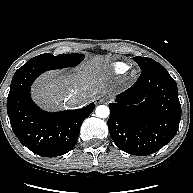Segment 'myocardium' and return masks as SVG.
Wrapping results in <instances>:
<instances>
[{"instance_id": "1", "label": "myocardium", "mask_w": 193, "mask_h": 193, "mask_svg": "<svg viewBox=\"0 0 193 193\" xmlns=\"http://www.w3.org/2000/svg\"><path fill=\"white\" fill-rule=\"evenodd\" d=\"M132 76H133V77L135 76V73H134V72L132 73Z\"/></svg>"}]
</instances>
